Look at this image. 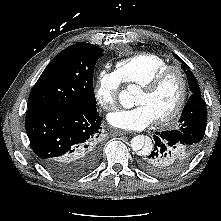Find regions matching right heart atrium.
Wrapping results in <instances>:
<instances>
[{"mask_svg": "<svg viewBox=\"0 0 221 221\" xmlns=\"http://www.w3.org/2000/svg\"><path fill=\"white\" fill-rule=\"evenodd\" d=\"M121 82L114 72L101 70L96 77L94 96L97 103L106 111L114 110L118 103Z\"/></svg>", "mask_w": 221, "mask_h": 221, "instance_id": "d8ad5b80", "label": "right heart atrium"}]
</instances>
